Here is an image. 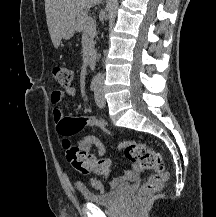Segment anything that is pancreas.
<instances>
[{
  "mask_svg": "<svg viewBox=\"0 0 216 217\" xmlns=\"http://www.w3.org/2000/svg\"><path fill=\"white\" fill-rule=\"evenodd\" d=\"M75 29L78 32H85L89 37V49H93V38L96 33V24L94 20L88 15L86 11H82L78 14L75 21Z\"/></svg>",
  "mask_w": 216,
  "mask_h": 217,
  "instance_id": "obj_1",
  "label": "pancreas"
}]
</instances>
